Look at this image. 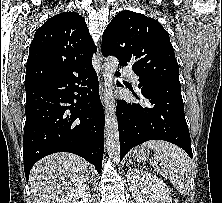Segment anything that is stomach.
Wrapping results in <instances>:
<instances>
[{
	"label": "stomach",
	"instance_id": "stomach-1",
	"mask_svg": "<svg viewBox=\"0 0 222 203\" xmlns=\"http://www.w3.org/2000/svg\"><path fill=\"white\" fill-rule=\"evenodd\" d=\"M146 154H147V149L143 148L142 146L136 147L133 150V156L136 159H141V158L145 157Z\"/></svg>",
	"mask_w": 222,
	"mask_h": 203
}]
</instances>
